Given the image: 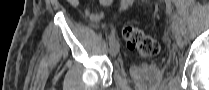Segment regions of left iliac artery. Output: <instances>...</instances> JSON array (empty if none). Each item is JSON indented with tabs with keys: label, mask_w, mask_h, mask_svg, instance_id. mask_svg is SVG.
<instances>
[{
	"label": "left iliac artery",
	"mask_w": 209,
	"mask_h": 90,
	"mask_svg": "<svg viewBox=\"0 0 209 90\" xmlns=\"http://www.w3.org/2000/svg\"><path fill=\"white\" fill-rule=\"evenodd\" d=\"M179 4V1L178 0H172V5H174L175 7V9H177L178 7H177V5Z\"/></svg>",
	"instance_id": "1"
}]
</instances>
